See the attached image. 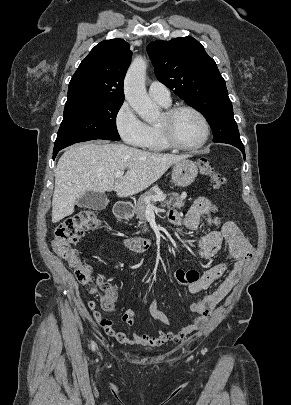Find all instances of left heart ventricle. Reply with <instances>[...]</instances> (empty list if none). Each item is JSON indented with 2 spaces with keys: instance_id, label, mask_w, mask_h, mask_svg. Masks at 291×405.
Wrapping results in <instances>:
<instances>
[{
  "instance_id": "obj_1",
  "label": "left heart ventricle",
  "mask_w": 291,
  "mask_h": 405,
  "mask_svg": "<svg viewBox=\"0 0 291 405\" xmlns=\"http://www.w3.org/2000/svg\"><path fill=\"white\" fill-rule=\"evenodd\" d=\"M173 131L176 140L184 145H196L204 137V126L201 119L193 112L186 110L176 116Z\"/></svg>"
}]
</instances>
